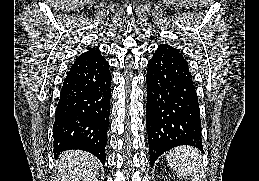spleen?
I'll return each mask as SVG.
<instances>
[{"label": "spleen", "instance_id": "3e777b00", "mask_svg": "<svg viewBox=\"0 0 259 181\" xmlns=\"http://www.w3.org/2000/svg\"><path fill=\"white\" fill-rule=\"evenodd\" d=\"M169 166L181 177H191L200 181L201 154L192 146H180L170 150L166 155Z\"/></svg>", "mask_w": 259, "mask_h": 181}]
</instances>
